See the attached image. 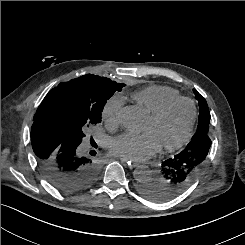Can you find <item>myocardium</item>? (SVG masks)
<instances>
[{
    "label": "myocardium",
    "instance_id": "f54148a6",
    "mask_svg": "<svg viewBox=\"0 0 245 245\" xmlns=\"http://www.w3.org/2000/svg\"><path fill=\"white\" fill-rule=\"evenodd\" d=\"M180 102H186L191 107V118H190L188 127H187L184 135L177 142H175L171 145L161 146V147H159L160 150L167 151V152L175 151V150L183 147L189 141V139L192 136V133H193V130H194V127L196 124V120L198 117L197 105H196V102L192 98L181 96L178 98L171 99V100L167 101L166 103H164L162 106H160L157 110L150 113L149 118L153 121L159 120L174 105H176Z\"/></svg>",
    "mask_w": 245,
    "mask_h": 245
}]
</instances>
